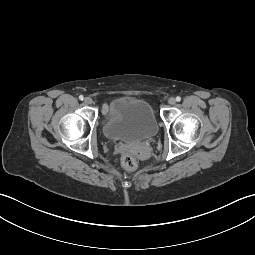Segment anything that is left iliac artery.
Wrapping results in <instances>:
<instances>
[{
    "mask_svg": "<svg viewBox=\"0 0 255 255\" xmlns=\"http://www.w3.org/2000/svg\"><path fill=\"white\" fill-rule=\"evenodd\" d=\"M176 101H177V102H180V101H181V97H180V96H177V97H176Z\"/></svg>",
    "mask_w": 255,
    "mask_h": 255,
    "instance_id": "obj_1",
    "label": "left iliac artery"
}]
</instances>
